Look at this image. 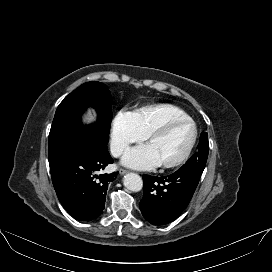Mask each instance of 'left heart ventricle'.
<instances>
[{
  "label": "left heart ventricle",
  "instance_id": "1",
  "mask_svg": "<svg viewBox=\"0 0 272 272\" xmlns=\"http://www.w3.org/2000/svg\"><path fill=\"white\" fill-rule=\"evenodd\" d=\"M193 135L189 124H179L148 142L160 163H171L187 150Z\"/></svg>",
  "mask_w": 272,
  "mask_h": 272
}]
</instances>
